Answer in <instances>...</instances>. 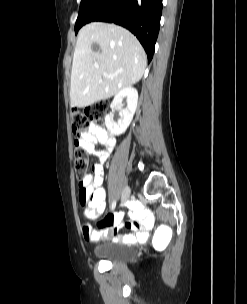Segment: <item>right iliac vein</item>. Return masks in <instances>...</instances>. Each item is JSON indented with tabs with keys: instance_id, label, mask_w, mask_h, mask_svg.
Masks as SVG:
<instances>
[{
	"instance_id": "1",
	"label": "right iliac vein",
	"mask_w": 247,
	"mask_h": 304,
	"mask_svg": "<svg viewBox=\"0 0 247 304\" xmlns=\"http://www.w3.org/2000/svg\"><path fill=\"white\" fill-rule=\"evenodd\" d=\"M131 190L129 187H126L122 193V201L126 202L130 198Z\"/></svg>"
}]
</instances>
